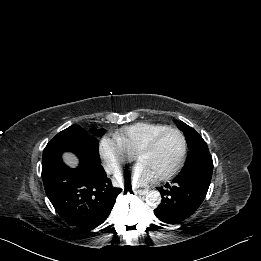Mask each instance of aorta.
I'll return each mask as SVG.
<instances>
[{"label":"aorta","mask_w":261,"mask_h":261,"mask_svg":"<svg viewBox=\"0 0 261 261\" xmlns=\"http://www.w3.org/2000/svg\"><path fill=\"white\" fill-rule=\"evenodd\" d=\"M146 202L152 206L159 205L161 202V195H160L159 191H157V190L149 191L146 194Z\"/></svg>","instance_id":"762f6f07"}]
</instances>
